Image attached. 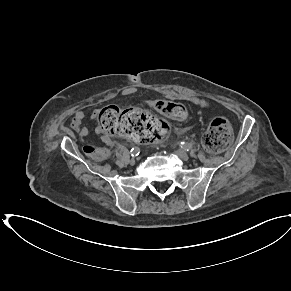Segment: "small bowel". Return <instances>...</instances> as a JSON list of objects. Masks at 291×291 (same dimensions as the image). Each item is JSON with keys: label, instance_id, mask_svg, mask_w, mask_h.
Instances as JSON below:
<instances>
[{"label": "small bowel", "instance_id": "obj_1", "mask_svg": "<svg viewBox=\"0 0 291 291\" xmlns=\"http://www.w3.org/2000/svg\"><path fill=\"white\" fill-rule=\"evenodd\" d=\"M187 101L201 107V108H209L210 104L203 98L199 97H188L186 98ZM86 119V113L82 110L75 111L72 119H71V128L75 132H77L81 139H85L89 135V129L83 126V121ZM97 133H100L99 129H96ZM101 140L104 144L110 145L112 144V139L108 136L103 134L101 136Z\"/></svg>", "mask_w": 291, "mask_h": 291}]
</instances>
